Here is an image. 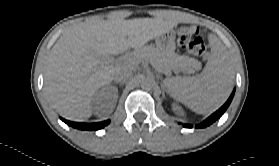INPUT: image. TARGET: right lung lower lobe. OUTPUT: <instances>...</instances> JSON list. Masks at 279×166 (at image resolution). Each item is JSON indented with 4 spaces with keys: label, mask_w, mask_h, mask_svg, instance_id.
Listing matches in <instances>:
<instances>
[{
    "label": "right lung lower lobe",
    "mask_w": 279,
    "mask_h": 166,
    "mask_svg": "<svg viewBox=\"0 0 279 166\" xmlns=\"http://www.w3.org/2000/svg\"><path fill=\"white\" fill-rule=\"evenodd\" d=\"M61 120L74 128L82 129V130H98V129L105 127L106 125H108L110 123V120H106L103 122H97V123H91V124L71 122V121L65 120L63 118H61Z\"/></svg>",
    "instance_id": "98d812e1"
}]
</instances>
